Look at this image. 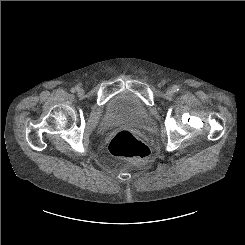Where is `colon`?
<instances>
[{
  "label": "colon",
  "mask_w": 245,
  "mask_h": 245,
  "mask_svg": "<svg viewBox=\"0 0 245 245\" xmlns=\"http://www.w3.org/2000/svg\"><path fill=\"white\" fill-rule=\"evenodd\" d=\"M108 149L116 157L137 163L147 161L151 153L149 147L129 130L119 131L110 141Z\"/></svg>",
  "instance_id": "obj_1"
}]
</instances>
